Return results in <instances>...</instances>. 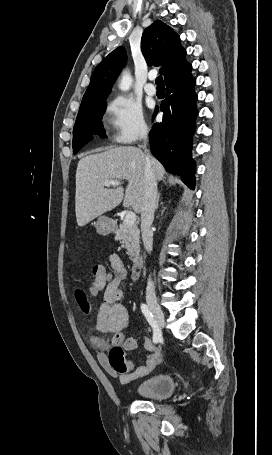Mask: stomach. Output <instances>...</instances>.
Masks as SVG:
<instances>
[{
    "label": "stomach",
    "mask_w": 272,
    "mask_h": 455,
    "mask_svg": "<svg viewBox=\"0 0 272 455\" xmlns=\"http://www.w3.org/2000/svg\"><path fill=\"white\" fill-rule=\"evenodd\" d=\"M98 234L106 236L114 230V222L106 216H100L96 224Z\"/></svg>",
    "instance_id": "0dacf381"
}]
</instances>
